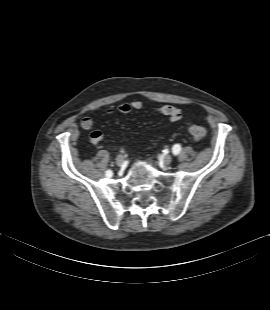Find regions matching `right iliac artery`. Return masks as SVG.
Returning <instances> with one entry per match:
<instances>
[{"mask_svg": "<svg viewBox=\"0 0 270 310\" xmlns=\"http://www.w3.org/2000/svg\"><path fill=\"white\" fill-rule=\"evenodd\" d=\"M106 175H107L108 177H111V176L113 175V173H112L111 170H107V171H106Z\"/></svg>", "mask_w": 270, "mask_h": 310, "instance_id": "right-iliac-artery-1", "label": "right iliac artery"}]
</instances>
